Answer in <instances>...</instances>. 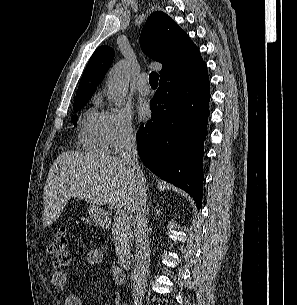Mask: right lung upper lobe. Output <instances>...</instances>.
<instances>
[{
	"instance_id": "cb5924a9",
	"label": "right lung upper lobe",
	"mask_w": 297,
	"mask_h": 305,
	"mask_svg": "<svg viewBox=\"0 0 297 305\" xmlns=\"http://www.w3.org/2000/svg\"><path fill=\"white\" fill-rule=\"evenodd\" d=\"M140 45L147 56L162 63L161 80L183 75L203 63L189 36L161 11L152 13L146 21ZM113 58L114 50L108 46L95 50L82 75L75 101L92 96Z\"/></svg>"
}]
</instances>
